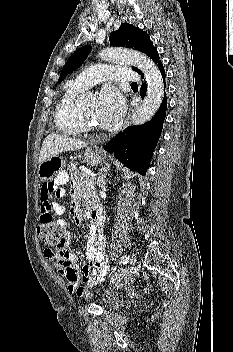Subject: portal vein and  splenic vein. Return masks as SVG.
Segmentation results:
<instances>
[{
  "label": "portal vein and splenic vein",
  "mask_w": 233,
  "mask_h": 352,
  "mask_svg": "<svg viewBox=\"0 0 233 352\" xmlns=\"http://www.w3.org/2000/svg\"><path fill=\"white\" fill-rule=\"evenodd\" d=\"M88 174L92 177H96V174H94V173L88 172Z\"/></svg>",
  "instance_id": "portal-vein-and-splenic-vein-1"
}]
</instances>
